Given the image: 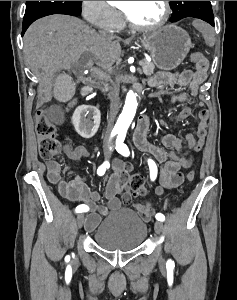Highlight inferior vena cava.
<instances>
[{"instance_id": "inferior-vena-cava-1", "label": "inferior vena cava", "mask_w": 237, "mask_h": 300, "mask_svg": "<svg viewBox=\"0 0 237 300\" xmlns=\"http://www.w3.org/2000/svg\"><path fill=\"white\" fill-rule=\"evenodd\" d=\"M100 37H105V39H114L113 33L110 31H99ZM119 105V91L116 87H110V111L108 115V127L106 133H111L114 125V119L117 115Z\"/></svg>"}]
</instances>
